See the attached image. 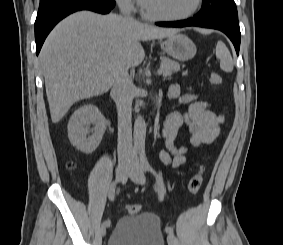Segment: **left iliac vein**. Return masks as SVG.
<instances>
[{"mask_svg": "<svg viewBox=\"0 0 283 245\" xmlns=\"http://www.w3.org/2000/svg\"><path fill=\"white\" fill-rule=\"evenodd\" d=\"M127 175L131 178V180L138 184L144 185L146 182L144 170L139 163V159L137 155L133 154L130 159V170L127 172ZM167 242L169 245H174L175 237L174 235L168 234Z\"/></svg>", "mask_w": 283, "mask_h": 245, "instance_id": "left-iliac-vein-1", "label": "left iliac vein"}]
</instances>
